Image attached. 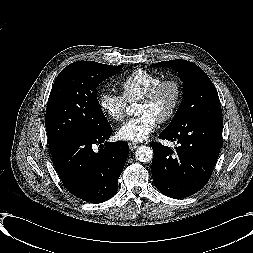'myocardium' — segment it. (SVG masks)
Segmentation results:
<instances>
[{
    "instance_id": "1",
    "label": "myocardium",
    "mask_w": 253,
    "mask_h": 253,
    "mask_svg": "<svg viewBox=\"0 0 253 253\" xmlns=\"http://www.w3.org/2000/svg\"><path fill=\"white\" fill-rule=\"evenodd\" d=\"M169 85L175 88L176 98L170 110L158 120V122L161 124L166 123L169 120H171L174 117V115L177 113L182 103L184 92H183V86L181 82L176 78L162 79L160 82H158L153 87H151L148 90V92L138 100V102L149 103L158 96V94L164 87L169 86Z\"/></svg>"
}]
</instances>
